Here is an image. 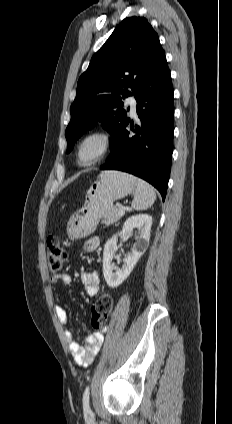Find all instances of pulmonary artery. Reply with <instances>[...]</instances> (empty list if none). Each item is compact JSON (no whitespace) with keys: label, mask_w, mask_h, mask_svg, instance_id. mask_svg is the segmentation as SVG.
I'll return each instance as SVG.
<instances>
[{"label":"pulmonary artery","mask_w":232,"mask_h":424,"mask_svg":"<svg viewBox=\"0 0 232 424\" xmlns=\"http://www.w3.org/2000/svg\"><path fill=\"white\" fill-rule=\"evenodd\" d=\"M126 104L130 106V113L132 116L136 114V100L134 96H129L126 99Z\"/></svg>","instance_id":"pulmonary-artery-1"}]
</instances>
